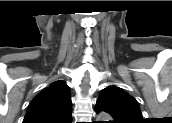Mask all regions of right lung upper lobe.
<instances>
[{
    "instance_id": "1",
    "label": "right lung upper lobe",
    "mask_w": 172,
    "mask_h": 123,
    "mask_svg": "<svg viewBox=\"0 0 172 123\" xmlns=\"http://www.w3.org/2000/svg\"><path fill=\"white\" fill-rule=\"evenodd\" d=\"M70 88L56 81L37 94L28 106L23 123H71Z\"/></svg>"
}]
</instances>
